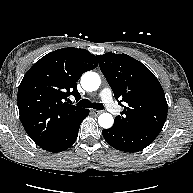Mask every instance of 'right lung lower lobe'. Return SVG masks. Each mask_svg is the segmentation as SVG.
I'll return each mask as SVG.
<instances>
[{"mask_svg": "<svg viewBox=\"0 0 193 193\" xmlns=\"http://www.w3.org/2000/svg\"><path fill=\"white\" fill-rule=\"evenodd\" d=\"M89 114V110L85 109L83 113L66 128L56 139L51 141L42 149L50 152H61L69 148L75 142L81 122L84 118H86Z\"/></svg>", "mask_w": 193, "mask_h": 193, "instance_id": "right-lung-lower-lobe-1", "label": "right lung lower lobe"}]
</instances>
